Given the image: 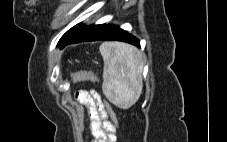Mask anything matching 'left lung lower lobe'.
Masks as SVG:
<instances>
[{"instance_id": "1", "label": "left lung lower lobe", "mask_w": 227, "mask_h": 142, "mask_svg": "<svg viewBox=\"0 0 227 142\" xmlns=\"http://www.w3.org/2000/svg\"><path fill=\"white\" fill-rule=\"evenodd\" d=\"M105 40L107 41L117 40L127 42L137 47H140L139 40L136 37L129 34L127 31L120 29L118 26L102 24L84 27L71 39L66 41L61 46V48L68 44L79 43L83 41H105Z\"/></svg>"}]
</instances>
